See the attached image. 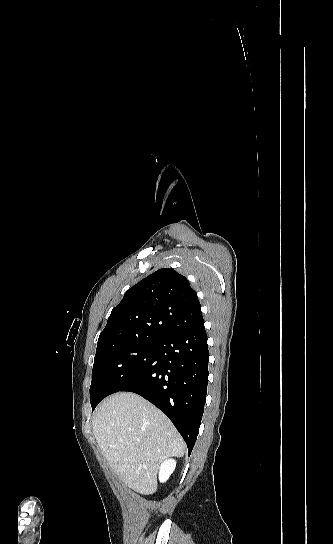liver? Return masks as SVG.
Returning a JSON list of instances; mask_svg holds the SVG:
<instances>
[{"instance_id": "6515ba94", "label": "liver", "mask_w": 333, "mask_h": 544, "mask_svg": "<svg viewBox=\"0 0 333 544\" xmlns=\"http://www.w3.org/2000/svg\"><path fill=\"white\" fill-rule=\"evenodd\" d=\"M93 434L112 470L144 495L157 490L160 464L185 452L170 420L133 393H117L102 402L94 413Z\"/></svg>"}]
</instances>
